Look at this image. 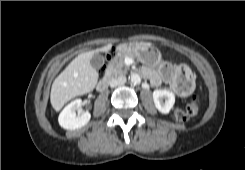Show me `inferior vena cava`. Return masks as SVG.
Returning a JSON list of instances; mask_svg holds the SVG:
<instances>
[{"label":"inferior vena cava","instance_id":"602c4592","mask_svg":"<svg viewBox=\"0 0 245 170\" xmlns=\"http://www.w3.org/2000/svg\"><path fill=\"white\" fill-rule=\"evenodd\" d=\"M125 83H126V77L125 76H118V77L112 78L109 82L110 87H112V88L119 86V85H123Z\"/></svg>","mask_w":245,"mask_h":170}]
</instances>
